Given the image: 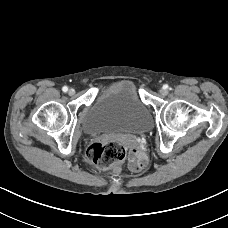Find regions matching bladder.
Listing matches in <instances>:
<instances>
[{
  "label": "bladder",
  "mask_w": 228,
  "mask_h": 228,
  "mask_svg": "<svg viewBox=\"0 0 228 228\" xmlns=\"http://www.w3.org/2000/svg\"><path fill=\"white\" fill-rule=\"evenodd\" d=\"M152 126V116L134 83L119 80L102 90L82 119L86 134H140Z\"/></svg>",
  "instance_id": "obj_1"
}]
</instances>
